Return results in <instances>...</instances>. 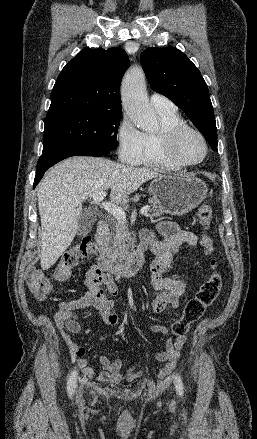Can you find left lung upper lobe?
<instances>
[{
  "label": "left lung upper lobe",
  "instance_id": "5c2ea615",
  "mask_svg": "<svg viewBox=\"0 0 257 439\" xmlns=\"http://www.w3.org/2000/svg\"><path fill=\"white\" fill-rule=\"evenodd\" d=\"M140 59L151 88L177 104L216 151V121L200 71L174 47L148 48Z\"/></svg>",
  "mask_w": 257,
  "mask_h": 439
}]
</instances>
